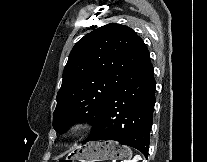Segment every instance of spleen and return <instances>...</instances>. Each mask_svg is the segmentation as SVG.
<instances>
[{
  "label": "spleen",
  "instance_id": "3e777b00",
  "mask_svg": "<svg viewBox=\"0 0 207 162\" xmlns=\"http://www.w3.org/2000/svg\"><path fill=\"white\" fill-rule=\"evenodd\" d=\"M139 160H142L140 155H135L132 160H126L124 162H138Z\"/></svg>",
  "mask_w": 207,
  "mask_h": 162
}]
</instances>
